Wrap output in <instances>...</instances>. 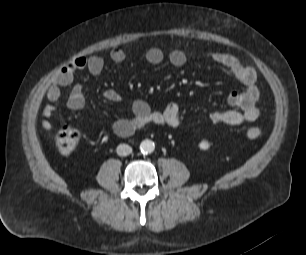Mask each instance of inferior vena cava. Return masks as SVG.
<instances>
[{"mask_svg": "<svg viewBox=\"0 0 306 255\" xmlns=\"http://www.w3.org/2000/svg\"><path fill=\"white\" fill-rule=\"evenodd\" d=\"M116 151L119 156H127L132 152V148L127 144H120Z\"/></svg>", "mask_w": 306, "mask_h": 255, "instance_id": "inferior-vena-cava-1", "label": "inferior vena cava"}]
</instances>
